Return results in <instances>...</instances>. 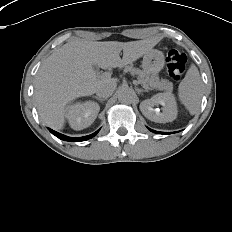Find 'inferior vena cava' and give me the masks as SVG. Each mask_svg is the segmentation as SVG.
<instances>
[{
	"label": "inferior vena cava",
	"mask_w": 232,
	"mask_h": 232,
	"mask_svg": "<svg viewBox=\"0 0 232 232\" xmlns=\"http://www.w3.org/2000/svg\"><path fill=\"white\" fill-rule=\"evenodd\" d=\"M116 82L113 80L103 81L97 88L96 94L102 98L110 97L116 89Z\"/></svg>",
	"instance_id": "602c4592"
}]
</instances>
